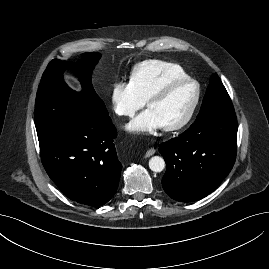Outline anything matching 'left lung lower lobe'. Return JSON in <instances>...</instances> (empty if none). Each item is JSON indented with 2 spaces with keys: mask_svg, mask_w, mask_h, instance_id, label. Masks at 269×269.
I'll return each mask as SVG.
<instances>
[{
  "mask_svg": "<svg viewBox=\"0 0 269 269\" xmlns=\"http://www.w3.org/2000/svg\"><path fill=\"white\" fill-rule=\"evenodd\" d=\"M235 113L196 120L183 134L163 143L159 152L167 170L164 191L174 200L197 201L213 192L236 158Z\"/></svg>",
  "mask_w": 269,
  "mask_h": 269,
  "instance_id": "0a47b994",
  "label": "left lung lower lobe"
}]
</instances>
